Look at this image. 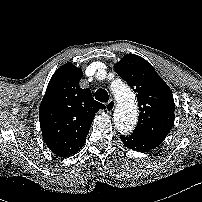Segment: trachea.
<instances>
[{"instance_id": "trachea-1", "label": "trachea", "mask_w": 202, "mask_h": 202, "mask_svg": "<svg viewBox=\"0 0 202 202\" xmlns=\"http://www.w3.org/2000/svg\"><path fill=\"white\" fill-rule=\"evenodd\" d=\"M94 96H95V99L100 102H108V100H109L108 92L102 88L98 89L95 92Z\"/></svg>"}]
</instances>
